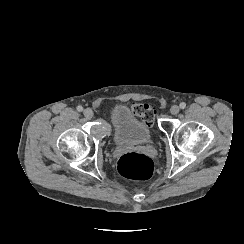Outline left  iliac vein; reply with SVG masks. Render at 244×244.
<instances>
[{
	"instance_id": "4c4485c4",
	"label": "left iliac vein",
	"mask_w": 244,
	"mask_h": 244,
	"mask_svg": "<svg viewBox=\"0 0 244 244\" xmlns=\"http://www.w3.org/2000/svg\"><path fill=\"white\" fill-rule=\"evenodd\" d=\"M179 111H180V108H179V106H177V105H172V106L170 107V112H171L173 115L178 114Z\"/></svg>"
}]
</instances>
